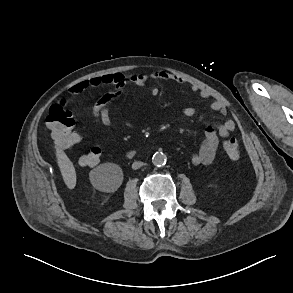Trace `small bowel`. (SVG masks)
I'll list each match as a JSON object with an SVG mask.
<instances>
[{
    "label": "small bowel",
    "instance_id": "1",
    "mask_svg": "<svg viewBox=\"0 0 293 293\" xmlns=\"http://www.w3.org/2000/svg\"><path fill=\"white\" fill-rule=\"evenodd\" d=\"M158 79L164 81H174L177 84H184L185 80L177 75L166 71L153 72L151 74H137L129 78V81L138 86L144 87L148 79ZM126 79L120 73H110L101 76H94L88 79L82 80L79 83L69 88L71 95H76L88 88H96L101 86H112L114 89L105 92L92 106L91 113L94 119L102 126H110L112 123L111 118V105L120 96L126 86ZM191 90L194 93L199 94L203 99H209L211 93L197 84L191 85ZM152 95H157L159 89L157 87L150 88ZM207 108L212 111L226 114L225 106L220 101H212L207 104ZM198 111L195 106L186 107L183 114L186 118L193 117ZM235 122L233 119H227L224 123L209 127L204 132V138L200 149L197 153L193 154L191 161L194 165H210L216 156V151L219 144V136H229L235 130Z\"/></svg>",
    "mask_w": 293,
    "mask_h": 293
}]
</instances>
